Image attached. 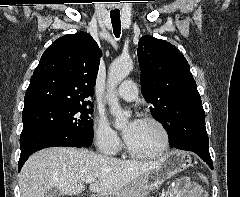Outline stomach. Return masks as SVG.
I'll return each instance as SVG.
<instances>
[{
    "label": "stomach",
    "instance_id": "obj_1",
    "mask_svg": "<svg viewBox=\"0 0 240 197\" xmlns=\"http://www.w3.org/2000/svg\"><path fill=\"white\" fill-rule=\"evenodd\" d=\"M192 165L191 157L182 151L168 153L156 167L126 184L120 191L108 197H146L158 189L166 180Z\"/></svg>",
    "mask_w": 240,
    "mask_h": 197
}]
</instances>
